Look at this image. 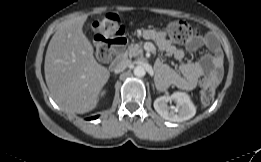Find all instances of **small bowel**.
<instances>
[{"instance_id":"small-bowel-1","label":"small bowel","mask_w":261,"mask_h":162,"mask_svg":"<svg viewBox=\"0 0 261 162\" xmlns=\"http://www.w3.org/2000/svg\"><path fill=\"white\" fill-rule=\"evenodd\" d=\"M146 37L153 40L157 46L164 52L181 60L184 57V51L175 47L168 39L165 32L157 29L146 31ZM205 46L210 53L203 55L197 62H186L180 66V74L168 68L160 60L156 62L157 70L161 75H167L171 84L178 86L183 90H193L201 76H207L216 82L222 78L223 54L219 44L213 35L197 37L193 39L188 49L196 51Z\"/></svg>"}]
</instances>
